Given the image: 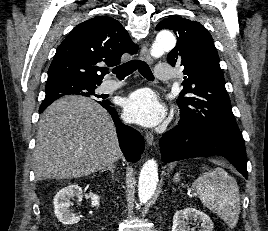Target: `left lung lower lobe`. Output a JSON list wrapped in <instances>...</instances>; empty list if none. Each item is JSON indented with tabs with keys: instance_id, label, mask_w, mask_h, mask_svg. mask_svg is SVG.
I'll list each match as a JSON object with an SVG mask.
<instances>
[{
	"instance_id": "1",
	"label": "left lung lower lobe",
	"mask_w": 268,
	"mask_h": 231,
	"mask_svg": "<svg viewBox=\"0 0 268 231\" xmlns=\"http://www.w3.org/2000/svg\"><path fill=\"white\" fill-rule=\"evenodd\" d=\"M160 150L164 162L192 157H226L247 179L245 143L228 134L178 125L163 134Z\"/></svg>"
}]
</instances>
